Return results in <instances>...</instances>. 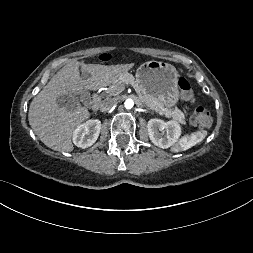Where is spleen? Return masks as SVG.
Wrapping results in <instances>:
<instances>
[{
    "label": "spleen",
    "instance_id": "spleen-1",
    "mask_svg": "<svg viewBox=\"0 0 253 253\" xmlns=\"http://www.w3.org/2000/svg\"><path fill=\"white\" fill-rule=\"evenodd\" d=\"M207 136V131H197L190 135L183 136L172 148V151L179 152L187 150L196 144L202 142Z\"/></svg>",
    "mask_w": 253,
    "mask_h": 253
}]
</instances>
